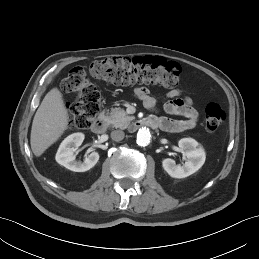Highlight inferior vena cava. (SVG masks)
<instances>
[{
	"instance_id": "1",
	"label": "inferior vena cava",
	"mask_w": 259,
	"mask_h": 259,
	"mask_svg": "<svg viewBox=\"0 0 259 259\" xmlns=\"http://www.w3.org/2000/svg\"><path fill=\"white\" fill-rule=\"evenodd\" d=\"M125 133L122 130H114L111 132V138L114 141H120L124 138Z\"/></svg>"
}]
</instances>
